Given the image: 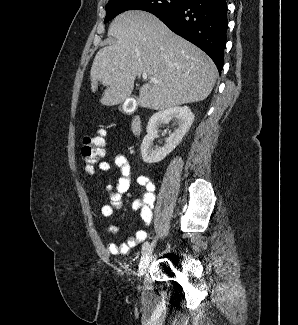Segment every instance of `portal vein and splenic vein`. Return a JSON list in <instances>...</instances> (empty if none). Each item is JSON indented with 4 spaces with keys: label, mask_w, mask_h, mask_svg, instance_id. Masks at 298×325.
I'll return each mask as SVG.
<instances>
[{
    "label": "portal vein and splenic vein",
    "mask_w": 298,
    "mask_h": 325,
    "mask_svg": "<svg viewBox=\"0 0 298 325\" xmlns=\"http://www.w3.org/2000/svg\"><path fill=\"white\" fill-rule=\"evenodd\" d=\"M142 78H144V80H149V82H160V80H158V78H152V76H147V74H145V72H143Z\"/></svg>",
    "instance_id": "obj_1"
}]
</instances>
